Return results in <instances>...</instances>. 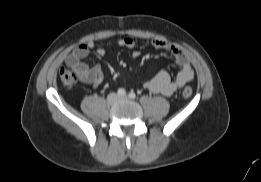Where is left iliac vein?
I'll list each match as a JSON object with an SVG mask.
<instances>
[{
  "instance_id": "obj_1",
  "label": "left iliac vein",
  "mask_w": 261,
  "mask_h": 182,
  "mask_svg": "<svg viewBox=\"0 0 261 182\" xmlns=\"http://www.w3.org/2000/svg\"><path fill=\"white\" fill-rule=\"evenodd\" d=\"M118 99L119 100H124V99H127V96H122V97H119Z\"/></svg>"
}]
</instances>
